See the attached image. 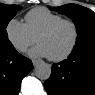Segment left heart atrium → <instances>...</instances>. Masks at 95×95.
<instances>
[{"instance_id": "left-heart-atrium-1", "label": "left heart atrium", "mask_w": 95, "mask_h": 95, "mask_svg": "<svg viewBox=\"0 0 95 95\" xmlns=\"http://www.w3.org/2000/svg\"><path fill=\"white\" fill-rule=\"evenodd\" d=\"M29 55L33 56V57H46V56H49L48 52L46 51V49L42 45H40V44H38L36 47H34L29 52Z\"/></svg>"}]
</instances>
